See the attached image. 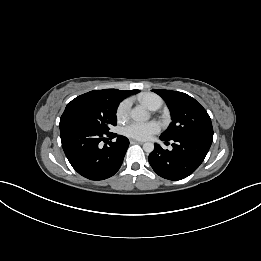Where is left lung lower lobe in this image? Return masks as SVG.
Instances as JSON below:
<instances>
[{
  "instance_id": "left-lung-lower-lobe-1",
  "label": "left lung lower lobe",
  "mask_w": 261,
  "mask_h": 261,
  "mask_svg": "<svg viewBox=\"0 0 261 261\" xmlns=\"http://www.w3.org/2000/svg\"><path fill=\"white\" fill-rule=\"evenodd\" d=\"M160 139L166 141L160 136ZM173 149L164 150L155 144L148 160L159 176L169 180H181L192 174L208 153L212 138L187 136L172 140Z\"/></svg>"
}]
</instances>
